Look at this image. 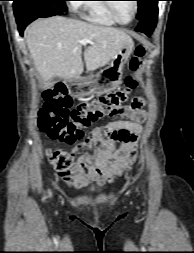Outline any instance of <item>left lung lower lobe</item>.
I'll return each instance as SVG.
<instances>
[{"label": "left lung lower lobe", "instance_id": "1", "mask_svg": "<svg viewBox=\"0 0 194 253\" xmlns=\"http://www.w3.org/2000/svg\"><path fill=\"white\" fill-rule=\"evenodd\" d=\"M157 15L158 5L156 4L144 15L141 20H139L137 31L143 32L150 36L157 23Z\"/></svg>", "mask_w": 194, "mask_h": 253}]
</instances>
